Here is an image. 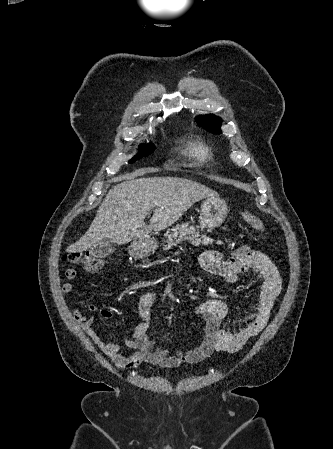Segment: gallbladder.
Listing matches in <instances>:
<instances>
[{
  "label": "gallbladder",
  "mask_w": 333,
  "mask_h": 449,
  "mask_svg": "<svg viewBox=\"0 0 333 449\" xmlns=\"http://www.w3.org/2000/svg\"><path fill=\"white\" fill-rule=\"evenodd\" d=\"M116 250V246L113 243L101 242L91 249V253L95 257L105 258Z\"/></svg>",
  "instance_id": "bac80fb5"
}]
</instances>
